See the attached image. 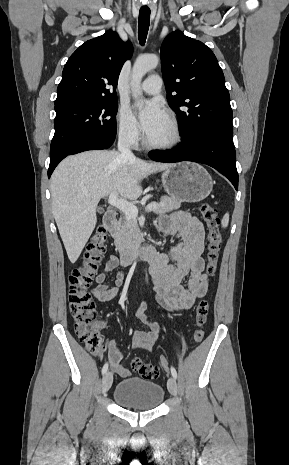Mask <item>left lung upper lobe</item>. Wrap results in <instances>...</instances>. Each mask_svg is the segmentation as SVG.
<instances>
[{
    "instance_id": "1",
    "label": "left lung upper lobe",
    "mask_w": 289,
    "mask_h": 465,
    "mask_svg": "<svg viewBox=\"0 0 289 465\" xmlns=\"http://www.w3.org/2000/svg\"><path fill=\"white\" fill-rule=\"evenodd\" d=\"M161 65L169 106L180 120L182 141L196 132L232 139V109L225 78L214 53L180 31L161 46Z\"/></svg>"
}]
</instances>
